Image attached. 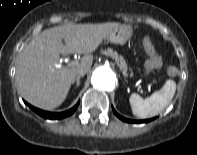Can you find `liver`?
<instances>
[{"label": "liver", "mask_w": 197, "mask_h": 155, "mask_svg": "<svg viewBox=\"0 0 197 155\" xmlns=\"http://www.w3.org/2000/svg\"><path fill=\"white\" fill-rule=\"evenodd\" d=\"M119 26V23H69L42 31L18 56L16 84L22 97L45 110L61 105L77 71L80 68L90 70L93 63L91 53ZM60 54L84 56L77 65L64 67L59 63Z\"/></svg>", "instance_id": "liver-1"}]
</instances>
